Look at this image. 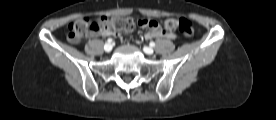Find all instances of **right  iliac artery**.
<instances>
[{
  "label": "right iliac artery",
  "mask_w": 276,
  "mask_h": 120,
  "mask_svg": "<svg viewBox=\"0 0 276 120\" xmlns=\"http://www.w3.org/2000/svg\"><path fill=\"white\" fill-rule=\"evenodd\" d=\"M107 42H108V43H111V42H113V40H112L111 38H109V39L107 40Z\"/></svg>",
  "instance_id": "obj_1"
}]
</instances>
